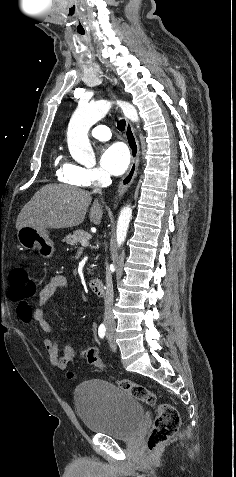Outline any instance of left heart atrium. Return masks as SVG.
Masks as SVG:
<instances>
[{"label":"left heart atrium","instance_id":"obj_1","mask_svg":"<svg viewBox=\"0 0 236 477\" xmlns=\"http://www.w3.org/2000/svg\"><path fill=\"white\" fill-rule=\"evenodd\" d=\"M130 162V154L125 145L114 143L107 146L101 155V165L112 175H121Z\"/></svg>","mask_w":236,"mask_h":477}]
</instances>
